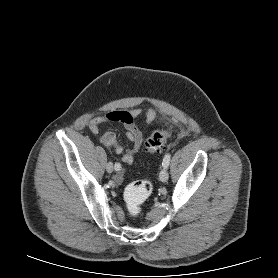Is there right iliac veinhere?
Here are the masks:
<instances>
[{
  "instance_id": "right-iliac-vein-1",
  "label": "right iliac vein",
  "mask_w": 278,
  "mask_h": 278,
  "mask_svg": "<svg viewBox=\"0 0 278 278\" xmlns=\"http://www.w3.org/2000/svg\"><path fill=\"white\" fill-rule=\"evenodd\" d=\"M106 170H107L108 173H112L113 172V164L111 162H109L106 165Z\"/></svg>"
}]
</instances>
